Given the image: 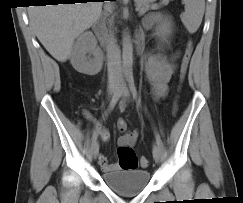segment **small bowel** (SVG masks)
<instances>
[{
  "label": "small bowel",
  "instance_id": "obj_1",
  "mask_svg": "<svg viewBox=\"0 0 243 203\" xmlns=\"http://www.w3.org/2000/svg\"><path fill=\"white\" fill-rule=\"evenodd\" d=\"M156 20V16H150L145 20V25L149 26ZM176 66L171 59L160 55L148 54L144 59V70L149 82L153 85L155 95L157 98H162L166 95L168 90V84L175 72ZM127 105L122 102L119 106V110L123 112ZM96 125V131L100 134L103 141H108L110 133L106 127L100 122L94 120ZM117 129L122 135L118 139L119 145L134 146L136 143L139 132L138 130L127 131V123L124 119L117 121ZM99 165L105 172H111L119 169V164L110 163L107 157L100 154L98 157Z\"/></svg>",
  "mask_w": 243,
  "mask_h": 203
}]
</instances>
